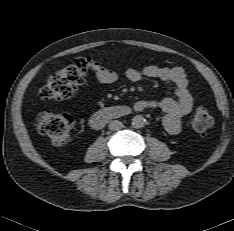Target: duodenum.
Segmentation results:
<instances>
[{
	"label": "duodenum",
	"mask_w": 234,
	"mask_h": 231,
	"mask_svg": "<svg viewBox=\"0 0 234 231\" xmlns=\"http://www.w3.org/2000/svg\"><path fill=\"white\" fill-rule=\"evenodd\" d=\"M131 112V109L128 106H110L105 107L97 112H95L91 116V124L95 128L102 127L106 122L125 117L129 115Z\"/></svg>",
	"instance_id": "1"
}]
</instances>
